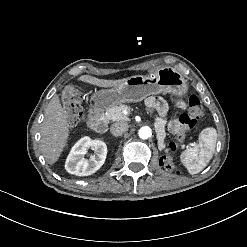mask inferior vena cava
<instances>
[{
    "mask_svg": "<svg viewBox=\"0 0 247 247\" xmlns=\"http://www.w3.org/2000/svg\"><path fill=\"white\" fill-rule=\"evenodd\" d=\"M128 124L125 122L113 123L110 127V131L114 136L122 135L127 131Z\"/></svg>",
    "mask_w": 247,
    "mask_h": 247,
    "instance_id": "602c4592",
    "label": "inferior vena cava"
}]
</instances>
